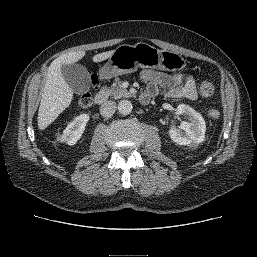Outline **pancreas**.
I'll list each match as a JSON object with an SVG mask.
<instances>
[{
	"label": "pancreas",
	"instance_id": "cf45deb5",
	"mask_svg": "<svg viewBox=\"0 0 257 257\" xmlns=\"http://www.w3.org/2000/svg\"><path fill=\"white\" fill-rule=\"evenodd\" d=\"M102 91L105 92L107 96L114 99L130 96L129 92L122 87L119 79H115V82L111 85V87H103Z\"/></svg>",
	"mask_w": 257,
	"mask_h": 257
}]
</instances>
